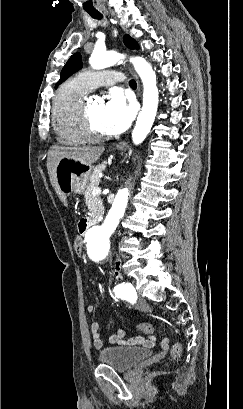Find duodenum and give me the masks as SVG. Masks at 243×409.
Listing matches in <instances>:
<instances>
[{"label":"duodenum","mask_w":243,"mask_h":409,"mask_svg":"<svg viewBox=\"0 0 243 409\" xmlns=\"http://www.w3.org/2000/svg\"><path fill=\"white\" fill-rule=\"evenodd\" d=\"M96 222L94 220H83L80 223V230L81 232H85L86 230H88L91 226H93Z\"/></svg>","instance_id":"duodenum-1"}]
</instances>
